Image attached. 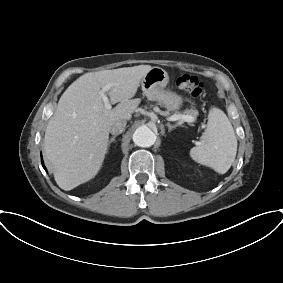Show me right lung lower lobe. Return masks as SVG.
<instances>
[{
    "mask_svg": "<svg viewBox=\"0 0 283 283\" xmlns=\"http://www.w3.org/2000/svg\"><path fill=\"white\" fill-rule=\"evenodd\" d=\"M42 164H43V161L41 160ZM43 168L46 170L45 166L43 165Z\"/></svg>",
    "mask_w": 283,
    "mask_h": 283,
    "instance_id": "98d812e1",
    "label": "right lung lower lobe"
}]
</instances>
